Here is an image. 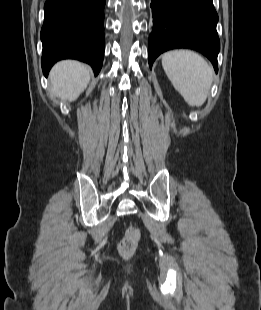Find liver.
<instances>
[{
	"instance_id": "liver-1",
	"label": "liver",
	"mask_w": 261,
	"mask_h": 310,
	"mask_svg": "<svg viewBox=\"0 0 261 310\" xmlns=\"http://www.w3.org/2000/svg\"><path fill=\"white\" fill-rule=\"evenodd\" d=\"M91 77L87 65L77 61H62L51 70V91L62 100L74 101L87 87Z\"/></svg>"
}]
</instances>
